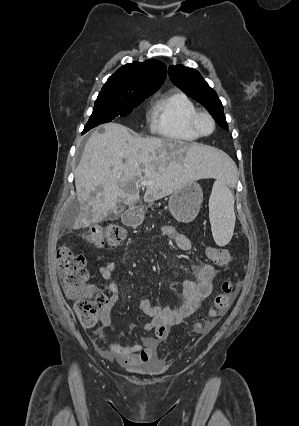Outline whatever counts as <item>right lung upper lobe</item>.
Wrapping results in <instances>:
<instances>
[{"instance_id": "obj_1", "label": "right lung upper lobe", "mask_w": 299, "mask_h": 426, "mask_svg": "<svg viewBox=\"0 0 299 426\" xmlns=\"http://www.w3.org/2000/svg\"><path fill=\"white\" fill-rule=\"evenodd\" d=\"M166 66L157 60L133 62L122 66L104 84L103 90L134 97L143 92L156 91L164 82Z\"/></svg>"}]
</instances>
